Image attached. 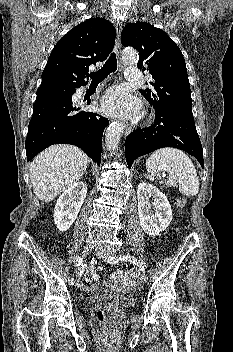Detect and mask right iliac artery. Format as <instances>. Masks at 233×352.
<instances>
[{"label": "right iliac artery", "mask_w": 233, "mask_h": 352, "mask_svg": "<svg viewBox=\"0 0 233 352\" xmlns=\"http://www.w3.org/2000/svg\"><path fill=\"white\" fill-rule=\"evenodd\" d=\"M75 263H76L77 266H81L82 263H83V258L80 257V256L76 257ZM74 283H75V282H74V279H73V278H70V279H69V284H70V285H73Z\"/></svg>", "instance_id": "82829eb1"}]
</instances>
